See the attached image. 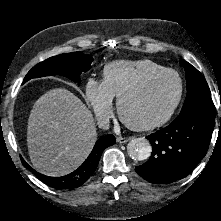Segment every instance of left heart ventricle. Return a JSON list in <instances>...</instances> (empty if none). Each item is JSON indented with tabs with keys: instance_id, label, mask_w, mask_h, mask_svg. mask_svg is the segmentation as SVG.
<instances>
[{
	"instance_id": "left-heart-ventricle-1",
	"label": "left heart ventricle",
	"mask_w": 221,
	"mask_h": 221,
	"mask_svg": "<svg viewBox=\"0 0 221 221\" xmlns=\"http://www.w3.org/2000/svg\"><path fill=\"white\" fill-rule=\"evenodd\" d=\"M178 89V81L174 75L161 76L125 102L124 114L134 123L156 120L169 110Z\"/></svg>"
}]
</instances>
